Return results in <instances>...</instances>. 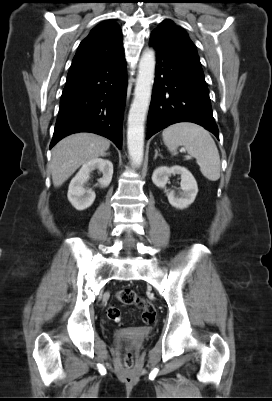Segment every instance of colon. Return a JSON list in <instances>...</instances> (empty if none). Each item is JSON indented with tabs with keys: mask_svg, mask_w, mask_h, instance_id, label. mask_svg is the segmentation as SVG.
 <instances>
[{
	"mask_svg": "<svg viewBox=\"0 0 272 401\" xmlns=\"http://www.w3.org/2000/svg\"><path fill=\"white\" fill-rule=\"evenodd\" d=\"M117 299L125 305H135L142 310V322L146 325L154 323L156 319V310L154 306L145 298L140 297L134 290L125 288L117 293ZM108 317L119 322L121 320V312L117 307L111 306L107 310ZM124 364L130 368L133 364L132 350L126 348L124 355Z\"/></svg>",
	"mask_w": 272,
	"mask_h": 401,
	"instance_id": "colon-1",
	"label": "colon"
}]
</instances>
